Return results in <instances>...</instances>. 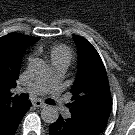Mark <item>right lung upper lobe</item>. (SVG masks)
I'll return each mask as SVG.
<instances>
[{
	"label": "right lung upper lobe",
	"instance_id": "obj_1",
	"mask_svg": "<svg viewBox=\"0 0 135 135\" xmlns=\"http://www.w3.org/2000/svg\"><path fill=\"white\" fill-rule=\"evenodd\" d=\"M39 39L16 33L0 38V107L21 101L11 97L10 89L16 86L19 78L24 50Z\"/></svg>",
	"mask_w": 135,
	"mask_h": 135
}]
</instances>
